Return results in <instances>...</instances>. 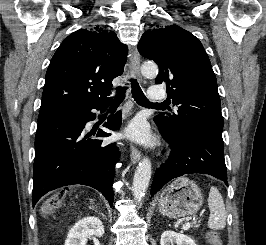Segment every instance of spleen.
<instances>
[{
  "label": "spleen",
  "mask_w": 266,
  "mask_h": 245,
  "mask_svg": "<svg viewBox=\"0 0 266 245\" xmlns=\"http://www.w3.org/2000/svg\"><path fill=\"white\" fill-rule=\"evenodd\" d=\"M208 207L210 209V217L208 221L209 229H213V231L224 229L226 225V211L224 201L217 187H211L210 189Z\"/></svg>",
  "instance_id": "1"
}]
</instances>
